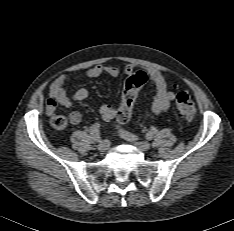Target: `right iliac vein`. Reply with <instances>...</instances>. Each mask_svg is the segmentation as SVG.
I'll use <instances>...</instances> for the list:
<instances>
[{
	"mask_svg": "<svg viewBox=\"0 0 234 231\" xmlns=\"http://www.w3.org/2000/svg\"><path fill=\"white\" fill-rule=\"evenodd\" d=\"M109 147H110V142L108 140H103V141H100V143L97 146V149L100 152H105L106 150L109 149Z\"/></svg>",
	"mask_w": 234,
	"mask_h": 231,
	"instance_id": "1",
	"label": "right iliac vein"
}]
</instances>
